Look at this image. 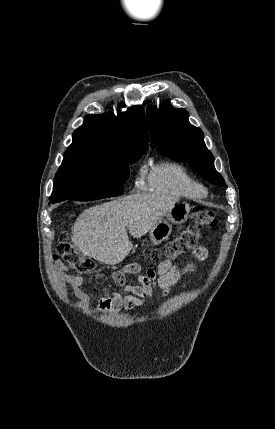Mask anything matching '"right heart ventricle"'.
Instances as JSON below:
<instances>
[{
  "label": "right heart ventricle",
  "mask_w": 275,
  "mask_h": 429,
  "mask_svg": "<svg viewBox=\"0 0 275 429\" xmlns=\"http://www.w3.org/2000/svg\"><path fill=\"white\" fill-rule=\"evenodd\" d=\"M145 186L150 191L189 198H203L205 187L183 165L164 161L151 166L145 175Z\"/></svg>",
  "instance_id": "right-heart-ventricle-1"
}]
</instances>
